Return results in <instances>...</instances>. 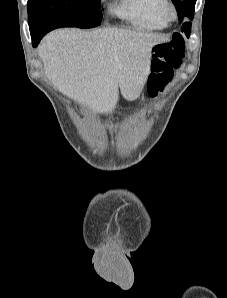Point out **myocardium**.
Wrapping results in <instances>:
<instances>
[{
	"mask_svg": "<svg viewBox=\"0 0 227 298\" xmlns=\"http://www.w3.org/2000/svg\"><path fill=\"white\" fill-rule=\"evenodd\" d=\"M161 13L167 21H174L178 16L177 7L171 0H163Z\"/></svg>",
	"mask_w": 227,
	"mask_h": 298,
	"instance_id": "obj_1",
	"label": "myocardium"
}]
</instances>
